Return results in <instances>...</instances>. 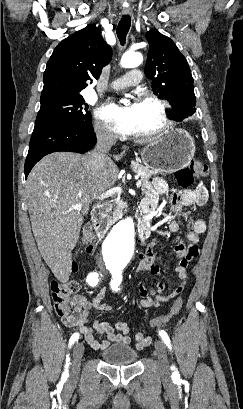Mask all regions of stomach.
<instances>
[{
  "mask_svg": "<svg viewBox=\"0 0 243 409\" xmlns=\"http://www.w3.org/2000/svg\"><path fill=\"white\" fill-rule=\"evenodd\" d=\"M195 154L194 138L183 129H172L141 151L143 163L156 172L171 173L191 162Z\"/></svg>",
  "mask_w": 243,
  "mask_h": 409,
  "instance_id": "obj_1",
  "label": "stomach"
}]
</instances>
